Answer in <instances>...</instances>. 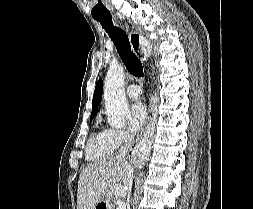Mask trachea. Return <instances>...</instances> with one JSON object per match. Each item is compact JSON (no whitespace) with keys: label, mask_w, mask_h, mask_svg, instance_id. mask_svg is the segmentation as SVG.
<instances>
[{"label":"trachea","mask_w":253,"mask_h":209,"mask_svg":"<svg viewBox=\"0 0 253 209\" xmlns=\"http://www.w3.org/2000/svg\"><path fill=\"white\" fill-rule=\"evenodd\" d=\"M94 19L99 21L108 33L127 70L136 77H142L144 75L142 63L131 50V45L126 32L119 27L113 26L111 15L94 17ZM134 48L137 51L138 46Z\"/></svg>","instance_id":"3493384b"}]
</instances>
